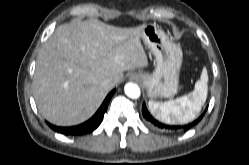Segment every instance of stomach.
<instances>
[{
  "instance_id": "stomach-1",
  "label": "stomach",
  "mask_w": 249,
  "mask_h": 165,
  "mask_svg": "<svg viewBox=\"0 0 249 165\" xmlns=\"http://www.w3.org/2000/svg\"><path fill=\"white\" fill-rule=\"evenodd\" d=\"M141 39L155 57V70L151 74L144 71L132 73V78L142 83L151 99L173 97L179 86L183 57L181 47L154 24L144 25Z\"/></svg>"
}]
</instances>
